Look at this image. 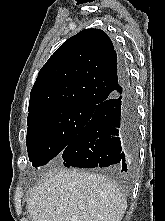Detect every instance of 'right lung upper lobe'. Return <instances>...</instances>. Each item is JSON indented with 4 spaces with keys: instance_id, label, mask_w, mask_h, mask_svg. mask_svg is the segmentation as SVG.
Instances as JSON below:
<instances>
[{
    "instance_id": "right-lung-upper-lobe-1",
    "label": "right lung upper lobe",
    "mask_w": 165,
    "mask_h": 221,
    "mask_svg": "<svg viewBox=\"0 0 165 221\" xmlns=\"http://www.w3.org/2000/svg\"><path fill=\"white\" fill-rule=\"evenodd\" d=\"M111 39L100 29L69 38L41 68L31 90L28 117L61 106H92L123 84Z\"/></svg>"
}]
</instances>
